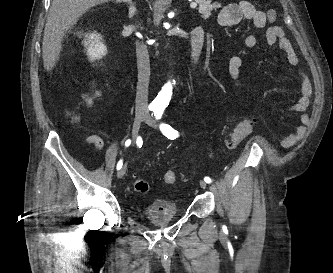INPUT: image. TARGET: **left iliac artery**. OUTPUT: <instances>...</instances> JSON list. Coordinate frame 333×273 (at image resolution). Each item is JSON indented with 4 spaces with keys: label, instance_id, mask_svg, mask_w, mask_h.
Wrapping results in <instances>:
<instances>
[{
    "label": "left iliac artery",
    "instance_id": "left-iliac-artery-1",
    "mask_svg": "<svg viewBox=\"0 0 333 273\" xmlns=\"http://www.w3.org/2000/svg\"><path fill=\"white\" fill-rule=\"evenodd\" d=\"M162 114H163V110H160V109L154 110V116L157 120L162 117ZM160 130L166 137H168L171 140L176 139L179 136L178 131L174 130L170 125L165 124V123H162L160 125ZM204 181L206 183L212 182L210 177H205Z\"/></svg>",
    "mask_w": 333,
    "mask_h": 273
}]
</instances>
